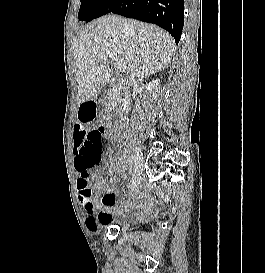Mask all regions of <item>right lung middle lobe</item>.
<instances>
[{"label":"right lung middle lobe","instance_id":"obj_1","mask_svg":"<svg viewBox=\"0 0 265 273\" xmlns=\"http://www.w3.org/2000/svg\"><path fill=\"white\" fill-rule=\"evenodd\" d=\"M79 20L90 22L109 13L118 0H80Z\"/></svg>","mask_w":265,"mask_h":273}]
</instances>
